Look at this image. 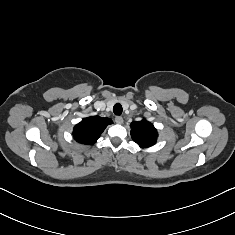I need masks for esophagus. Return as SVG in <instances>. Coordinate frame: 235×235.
Listing matches in <instances>:
<instances>
[{"label": "esophagus", "instance_id": "obj_1", "mask_svg": "<svg viewBox=\"0 0 235 235\" xmlns=\"http://www.w3.org/2000/svg\"><path fill=\"white\" fill-rule=\"evenodd\" d=\"M115 122H116L117 124H122V123H123V118H122L121 116H116V117H115Z\"/></svg>", "mask_w": 235, "mask_h": 235}]
</instances>
